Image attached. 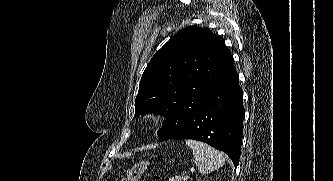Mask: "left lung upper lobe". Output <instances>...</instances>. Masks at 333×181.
<instances>
[{
	"label": "left lung upper lobe",
	"instance_id": "left-lung-upper-lobe-1",
	"mask_svg": "<svg viewBox=\"0 0 333 181\" xmlns=\"http://www.w3.org/2000/svg\"><path fill=\"white\" fill-rule=\"evenodd\" d=\"M233 65L216 34L197 26L182 29L147 65L135 99L136 116L160 113L166 120L158 135L169 133L168 121L197 110L212 85Z\"/></svg>",
	"mask_w": 333,
	"mask_h": 181
}]
</instances>
